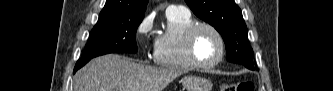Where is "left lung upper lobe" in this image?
Instances as JSON below:
<instances>
[{
	"label": "left lung upper lobe",
	"mask_w": 333,
	"mask_h": 91,
	"mask_svg": "<svg viewBox=\"0 0 333 91\" xmlns=\"http://www.w3.org/2000/svg\"><path fill=\"white\" fill-rule=\"evenodd\" d=\"M194 14L211 24L223 37L226 58L251 68L253 50L240 8L234 0H185Z\"/></svg>",
	"instance_id": "left-lung-upper-lobe-1"
}]
</instances>
